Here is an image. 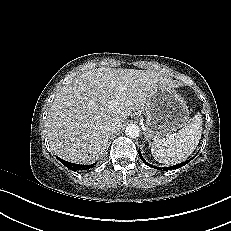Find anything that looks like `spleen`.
Wrapping results in <instances>:
<instances>
[{
	"label": "spleen",
	"instance_id": "3e777b00",
	"mask_svg": "<svg viewBox=\"0 0 231 231\" xmlns=\"http://www.w3.org/2000/svg\"><path fill=\"white\" fill-rule=\"evenodd\" d=\"M202 135V117L198 113L192 122L166 139H156L151 153L156 161L163 164H177L186 160L197 147Z\"/></svg>",
	"mask_w": 231,
	"mask_h": 231
}]
</instances>
